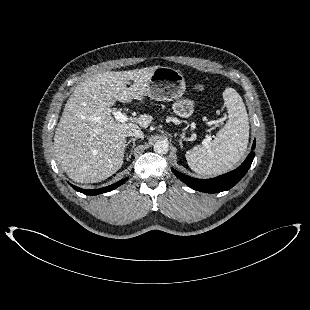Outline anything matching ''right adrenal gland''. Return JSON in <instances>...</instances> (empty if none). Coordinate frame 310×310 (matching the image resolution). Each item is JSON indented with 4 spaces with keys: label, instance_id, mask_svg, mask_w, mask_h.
I'll use <instances>...</instances> for the list:
<instances>
[{
    "label": "right adrenal gland",
    "instance_id": "obj_1",
    "mask_svg": "<svg viewBox=\"0 0 310 310\" xmlns=\"http://www.w3.org/2000/svg\"><path fill=\"white\" fill-rule=\"evenodd\" d=\"M136 139H137V138H132V139H130V140L125 144V148H126V149H127V146H128L131 142H132V144H133L132 149H131V151H130V154L127 155V160H130V158H131L132 150H133V148H134V146H135V141H136Z\"/></svg>",
    "mask_w": 310,
    "mask_h": 310
}]
</instances>
